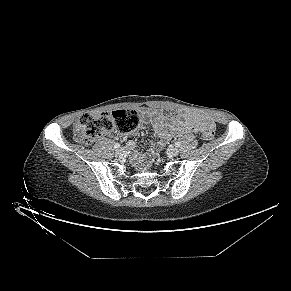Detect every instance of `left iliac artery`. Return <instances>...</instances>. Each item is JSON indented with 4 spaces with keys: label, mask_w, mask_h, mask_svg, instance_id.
<instances>
[{
    "label": "left iliac artery",
    "mask_w": 291,
    "mask_h": 291,
    "mask_svg": "<svg viewBox=\"0 0 291 291\" xmlns=\"http://www.w3.org/2000/svg\"><path fill=\"white\" fill-rule=\"evenodd\" d=\"M181 143L179 141L175 142L176 147H180Z\"/></svg>",
    "instance_id": "obj_1"
}]
</instances>
